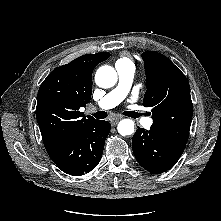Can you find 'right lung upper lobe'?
Returning a JSON list of instances; mask_svg holds the SVG:
<instances>
[{"instance_id":"cb5924a9","label":"right lung upper lobe","mask_w":221,"mask_h":221,"mask_svg":"<svg viewBox=\"0 0 221 221\" xmlns=\"http://www.w3.org/2000/svg\"><path fill=\"white\" fill-rule=\"evenodd\" d=\"M109 53L83 55L54 69L41 84L36 118L46 150H50L95 121L79 111L92 94V72Z\"/></svg>"}]
</instances>
